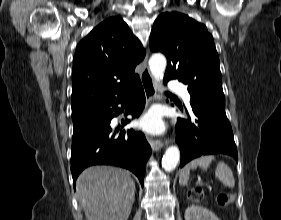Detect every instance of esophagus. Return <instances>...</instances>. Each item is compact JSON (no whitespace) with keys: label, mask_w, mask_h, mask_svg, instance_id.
<instances>
[{"label":"esophagus","mask_w":281,"mask_h":220,"mask_svg":"<svg viewBox=\"0 0 281 220\" xmlns=\"http://www.w3.org/2000/svg\"><path fill=\"white\" fill-rule=\"evenodd\" d=\"M147 59L148 56H146L144 61V70L141 75V82L142 86L145 92V96L147 99V102L150 103L152 100L156 99L157 97V89L155 85L154 78L152 74L149 71V68L147 66ZM148 143L150 144L151 148L154 151L160 150L163 147V142L159 139H153L151 137H148Z\"/></svg>","instance_id":"34e87169"}]
</instances>
